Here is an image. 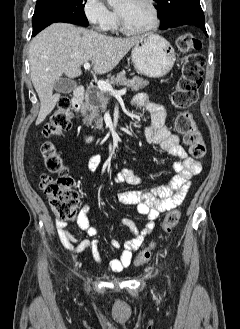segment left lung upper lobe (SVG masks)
<instances>
[{"instance_id": "left-lung-upper-lobe-1", "label": "left lung upper lobe", "mask_w": 240, "mask_h": 329, "mask_svg": "<svg viewBox=\"0 0 240 329\" xmlns=\"http://www.w3.org/2000/svg\"><path fill=\"white\" fill-rule=\"evenodd\" d=\"M160 17V29H166L178 21L205 22V17L200 6V0H155Z\"/></svg>"}]
</instances>
